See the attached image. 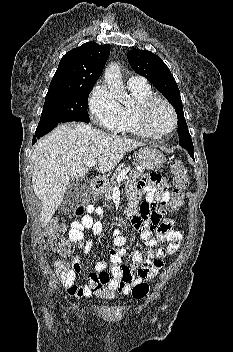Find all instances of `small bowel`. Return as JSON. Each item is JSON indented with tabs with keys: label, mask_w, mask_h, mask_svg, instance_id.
I'll list each match as a JSON object with an SVG mask.
<instances>
[{
	"label": "small bowel",
	"mask_w": 233,
	"mask_h": 352,
	"mask_svg": "<svg viewBox=\"0 0 233 352\" xmlns=\"http://www.w3.org/2000/svg\"><path fill=\"white\" fill-rule=\"evenodd\" d=\"M141 193L144 194V199L138 211L136 204L140 201ZM128 194L130 203L126 211L127 216L139 230L141 239L149 249L145 253L140 250L133 252V266L122 264L126 239L121 231L116 229L113 232L115 248L110 251L112 277L106 271V261H98L95 265L96 272L109 276L107 286L123 294H128L134 285L147 280L149 273H157L163 267L164 258L180 248L183 238L179 231L172 229V221L162 219V209L158 204H166L170 199V192L161 175L150 173L137 183H130ZM95 214L101 216L102 208L88 205L85 215L80 220L73 221L68 231L70 241L83 248L86 254L92 251L93 241L84 242V231L91 229L95 234H101L104 230L103 221L94 219ZM163 241L169 243L167 248L158 247ZM71 269V274L61 280L68 294L78 299L91 297L92 293L87 284L76 283L77 276L81 272L80 256L73 257Z\"/></svg>",
	"instance_id": "small-bowel-1"
}]
</instances>
